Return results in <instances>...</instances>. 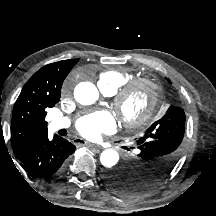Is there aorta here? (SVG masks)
I'll return each instance as SVG.
<instances>
[{"label":"aorta","instance_id":"762f6f07","mask_svg":"<svg viewBox=\"0 0 216 216\" xmlns=\"http://www.w3.org/2000/svg\"><path fill=\"white\" fill-rule=\"evenodd\" d=\"M75 100L82 105H91L99 98L96 86L90 82H81L74 89ZM119 161V154L113 149H106L100 155V162L106 168L114 167Z\"/></svg>","mask_w":216,"mask_h":216}]
</instances>
